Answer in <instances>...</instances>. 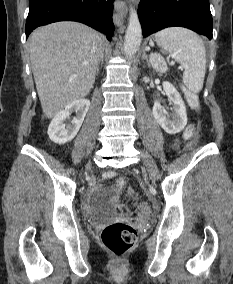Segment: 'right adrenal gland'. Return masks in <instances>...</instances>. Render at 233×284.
<instances>
[{"mask_svg":"<svg viewBox=\"0 0 233 284\" xmlns=\"http://www.w3.org/2000/svg\"><path fill=\"white\" fill-rule=\"evenodd\" d=\"M103 59H104V49H102V52H101V56H100V59H99L98 65H97V69H96V75H98V73H99V65H100V63H103Z\"/></svg>","mask_w":233,"mask_h":284,"instance_id":"right-adrenal-gland-1","label":"right adrenal gland"}]
</instances>
